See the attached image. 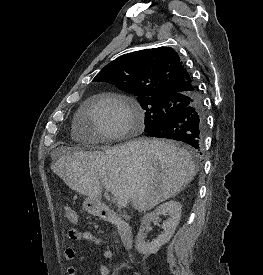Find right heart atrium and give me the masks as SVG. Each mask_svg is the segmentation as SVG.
Here are the masks:
<instances>
[{
	"mask_svg": "<svg viewBox=\"0 0 263 275\" xmlns=\"http://www.w3.org/2000/svg\"><path fill=\"white\" fill-rule=\"evenodd\" d=\"M93 119L103 139H116L134 130L133 108L120 96L98 100L93 106Z\"/></svg>",
	"mask_w": 263,
	"mask_h": 275,
	"instance_id": "d8ad5b80",
	"label": "right heart atrium"
}]
</instances>
